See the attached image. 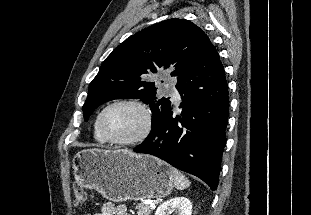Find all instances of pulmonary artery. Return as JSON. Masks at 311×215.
Returning <instances> with one entry per match:
<instances>
[{"instance_id":"1","label":"pulmonary artery","mask_w":311,"mask_h":215,"mask_svg":"<svg viewBox=\"0 0 311 215\" xmlns=\"http://www.w3.org/2000/svg\"><path fill=\"white\" fill-rule=\"evenodd\" d=\"M167 86L171 90L173 98L174 99H179L180 98V94H179L178 90L176 89L175 84L172 83V82H169L167 84Z\"/></svg>"}]
</instances>
